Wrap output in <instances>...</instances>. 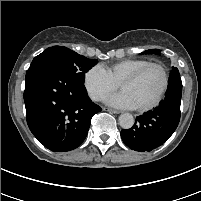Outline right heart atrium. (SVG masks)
I'll return each mask as SVG.
<instances>
[{"mask_svg":"<svg viewBox=\"0 0 201 201\" xmlns=\"http://www.w3.org/2000/svg\"><path fill=\"white\" fill-rule=\"evenodd\" d=\"M84 87L89 97L98 102L114 92L117 89V84L103 66L95 65L85 72Z\"/></svg>","mask_w":201,"mask_h":201,"instance_id":"d8ad5b80","label":"right heart atrium"}]
</instances>
